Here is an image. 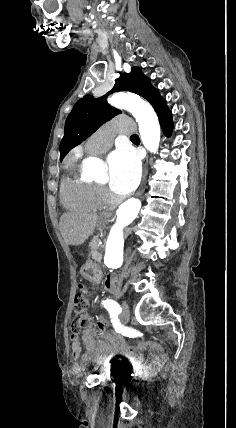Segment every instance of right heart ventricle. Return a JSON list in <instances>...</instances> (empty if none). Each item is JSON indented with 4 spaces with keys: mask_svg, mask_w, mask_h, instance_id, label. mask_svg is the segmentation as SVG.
<instances>
[{
    "mask_svg": "<svg viewBox=\"0 0 236 428\" xmlns=\"http://www.w3.org/2000/svg\"><path fill=\"white\" fill-rule=\"evenodd\" d=\"M88 156L84 149L75 151L61 180L60 196L68 209L96 211L104 203L101 189L82 175V166Z\"/></svg>",
    "mask_w": 236,
    "mask_h": 428,
    "instance_id": "1",
    "label": "right heart ventricle"
}]
</instances>
